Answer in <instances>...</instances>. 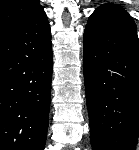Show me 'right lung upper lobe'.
<instances>
[{
  "instance_id": "cb5924a9",
  "label": "right lung upper lobe",
  "mask_w": 139,
  "mask_h": 150,
  "mask_svg": "<svg viewBox=\"0 0 139 150\" xmlns=\"http://www.w3.org/2000/svg\"><path fill=\"white\" fill-rule=\"evenodd\" d=\"M42 10L39 0H0V34L27 22Z\"/></svg>"
}]
</instances>
